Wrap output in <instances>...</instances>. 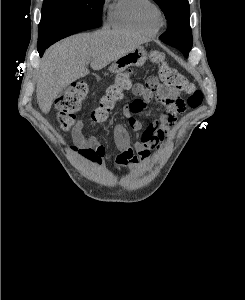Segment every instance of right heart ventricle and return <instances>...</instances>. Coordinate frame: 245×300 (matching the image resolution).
I'll use <instances>...</instances> for the list:
<instances>
[{
	"label": "right heart ventricle",
	"instance_id": "e07e8e85",
	"mask_svg": "<svg viewBox=\"0 0 245 300\" xmlns=\"http://www.w3.org/2000/svg\"><path fill=\"white\" fill-rule=\"evenodd\" d=\"M152 6L154 4L151 0H114L109 13V24L120 31L154 35L157 29L148 25L144 19L145 11Z\"/></svg>",
	"mask_w": 245,
	"mask_h": 300
}]
</instances>
